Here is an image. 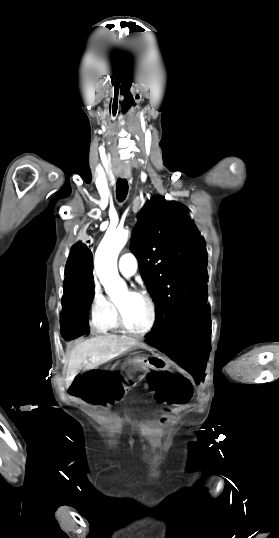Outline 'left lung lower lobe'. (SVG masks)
I'll list each match as a JSON object with an SVG mask.
<instances>
[{
    "mask_svg": "<svg viewBox=\"0 0 279 538\" xmlns=\"http://www.w3.org/2000/svg\"><path fill=\"white\" fill-rule=\"evenodd\" d=\"M210 307L199 306L174 332L166 336H145L149 345L165 353L199 382L204 374L211 334Z\"/></svg>",
    "mask_w": 279,
    "mask_h": 538,
    "instance_id": "0a47b994",
    "label": "left lung lower lobe"
}]
</instances>
